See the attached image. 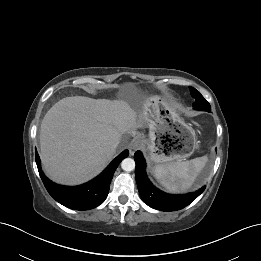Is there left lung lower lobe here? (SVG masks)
<instances>
[{
    "label": "left lung lower lobe",
    "instance_id": "1",
    "mask_svg": "<svg viewBox=\"0 0 261 261\" xmlns=\"http://www.w3.org/2000/svg\"><path fill=\"white\" fill-rule=\"evenodd\" d=\"M134 160L136 162L135 177L140 196L151 208L167 212L180 210L192 203L206 188L203 186L200 190L188 194H167L155 188L147 178L146 162L140 151L135 152Z\"/></svg>",
    "mask_w": 261,
    "mask_h": 261
}]
</instances>
